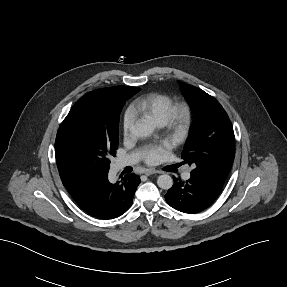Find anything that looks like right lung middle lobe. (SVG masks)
I'll use <instances>...</instances> for the list:
<instances>
[{
  "instance_id": "1",
  "label": "right lung middle lobe",
  "mask_w": 287,
  "mask_h": 287,
  "mask_svg": "<svg viewBox=\"0 0 287 287\" xmlns=\"http://www.w3.org/2000/svg\"><path fill=\"white\" fill-rule=\"evenodd\" d=\"M133 94L114 100L100 89L86 93L58 129L57 166L74 162L83 169L84 176L108 174L110 158L118 148L120 112Z\"/></svg>"
}]
</instances>
